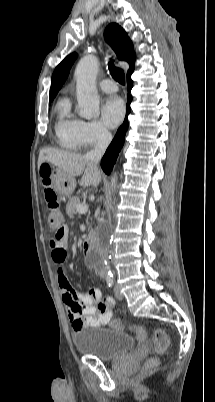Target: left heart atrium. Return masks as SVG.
<instances>
[{
	"label": "left heart atrium",
	"instance_id": "39dd6f15",
	"mask_svg": "<svg viewBox=\"0 0 215 402\" xmlns=\"http://www.w3.org/2000/svg\"><path fill=\"white\" fill-rule=\"evenodd\" d=\"M124 113V103L116 96L108 98L101 109L102 120L110 128H115L121 123Z\"/></svg>",
	"mask_w": 215,
	"mask_h": 402
}]
</instances>
